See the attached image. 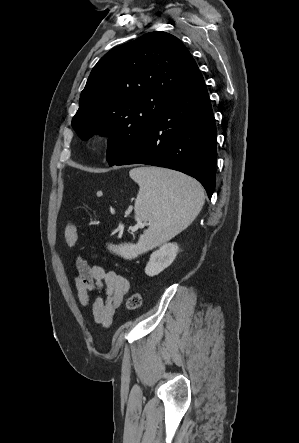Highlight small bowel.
<instances>
[{
  "label": "small bowel",
  "mask_w": 299,
  "mask_h": 443,
  "mask_svg": "<svg viewBox=\"0 0 299 443\" xmlns=\"http://www.w3.org/2000/svg\"><path fill=\"white\" fill-rule=\"evenodd\" d=\"M75 284L78 299L83 307L91 306L96 323L109 327L116 310L121 305L130 285L128 280L114 270H105L100 264H90L82 257L76 259ZM104 292L105 296H102ZM96 294L90 302V294Z\"/></svg>",
  "instance_id": "obj_1"
}]
</instances>
